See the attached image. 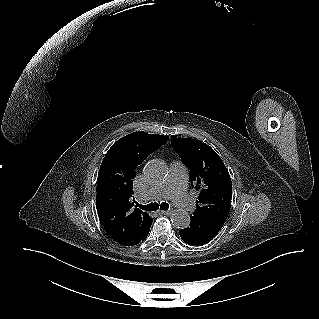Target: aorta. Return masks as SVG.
Instances as JSON below:
<instances>
[{
  "label": "aorta",
  "instance_id": "obj_1",
  "mask_svg": "<svg viewBox=\"0 0 319 319\" xmlns=\"http://www.w3.org/2000/svg\"><path fill=\"white\" fill-rule=\"evenodd\" d=\"M145 177L152 183L163 181L168 175V168L161 160H151L144 168ZM171 222L175 228L184 229L190 224V216L184 210H175L171 214Z\"/></svg>",
  "mask_w": 319,
  "mask_h": 319
}]
</instances>
